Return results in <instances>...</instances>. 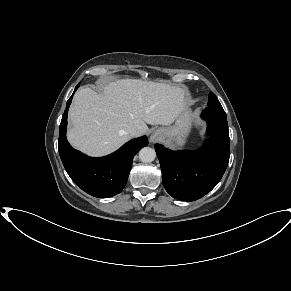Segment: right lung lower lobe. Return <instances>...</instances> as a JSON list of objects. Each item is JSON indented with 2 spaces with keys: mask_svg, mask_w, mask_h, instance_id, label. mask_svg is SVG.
<instances>
[{
  "mask_svg": "<svg viewBox=\"0 0 291 291\" xmlns=\"http://www.w3.org/2000/svg\"><path fill=\"white\" fill-rule=\"evenodd\" d=\"M73 94L67 101L60 124L58 150L62 163L70 178L83 191L94 197H112L125 187L133 157L147 146L148 139L146 136L133 139L116 152L100 158L88 157L75 150L66 139L67 114Z\"/></svg>",
  "mask_w": 291,
  "mask_h": 291,
  "instance_id": "1",
  "label": "right lung lower lobe"
}]
</instances>
